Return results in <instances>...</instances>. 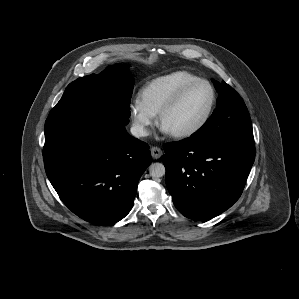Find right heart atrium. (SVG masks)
I'll return each mask as SVG.
<instances>
[{
	"instance_id": "d8ad5b80",
	"label": "right heart atrium",
	"mask_w": 299,
	"mask_h": 299,
	"mask_svg": "<svg viewBox=\"0 0 299 299\" xmlns=\"http://www.w3.org/2000/svg\"><path fill=\"white\" fill-rule=\"evenodd\" d=\"M130 115L136 134L141 137L147 136L156 122V115L139 100L130 105Z\"/></svg>"
}]
</instances>
